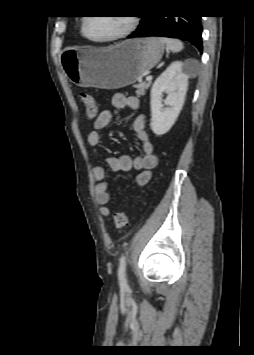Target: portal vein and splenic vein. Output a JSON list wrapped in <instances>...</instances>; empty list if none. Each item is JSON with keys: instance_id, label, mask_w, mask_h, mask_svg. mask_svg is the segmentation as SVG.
<instances>
[{"instance_id": "obj_1", "label": "portal vein and splenic vein", "mask_w": 254, "mask_h": 355, "mask_svg": "<svg viewBox=\"0 0 254 355\" xmlns=\"http://www.w3.org/2000/svg\"><path fill=\"white\" fill-rule=\"evenodd\" d=\"M146 80H147V81H151V80H152V76L148 75V76L146 77Z\"/></svg>"}]
</instances>
